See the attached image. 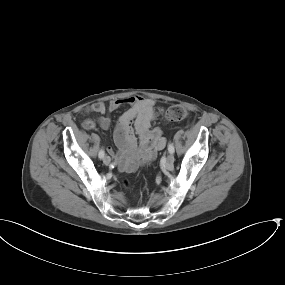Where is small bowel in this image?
Returning <instances> with one entry per match:
<instances>
[{"mask_svg": "<svg viewBox=\"0 0 285 285\" xmlns=\"http://www.w3.org/2000/svg\"><path fill=\"white\" fill-rule=\"evenodd\" d=\"M123 106L128 108L121 115L115 130L114 140L118 146L116 160L122 171L131 173L140 166L151 164L157 152L164 149L166 141L160 128H151L156 115V103L152 99L132 96L108 104L96 102L86 107L85 111L102 115L98 118V124L108 129L112 126L110 114ZM94 126L95 122L90 118L83 122V127L86 129H92ZM109 151L113 153L111 147Z\"/></svg>", "mask_w": 285, "mask_h": 285, "instance_id": "small-bowel-1", "label": "small bowel"}]
</instances>
